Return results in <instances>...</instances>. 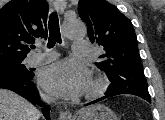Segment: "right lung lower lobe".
I'll return each mask as SVG.
<instances>
[{"label": "right lung lower lobe", "mask_w": 165, "mask_h": 120, "mask_svg": "<svg viewBox=\"0 0 165 120\" xmlns=\"http://www.w3.org/2000/svg\"><path fill=\"white\" fill-rule=\"evenodd\" d=\"M0 88L12 90L29 102L33 104L37 102L39 105L44 106V103L39 100V93L32 79L0 76ZM49 111L50 106L47 105L43 108V114L48 120L50 119Z\"/></svg>", "instance_id": "right-lung-lower-lobe-1"}]
</instances>
